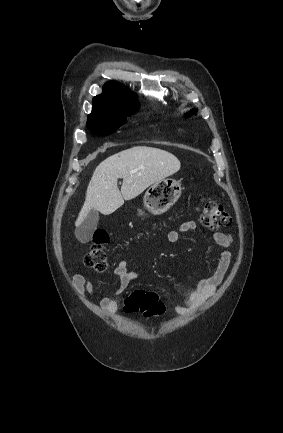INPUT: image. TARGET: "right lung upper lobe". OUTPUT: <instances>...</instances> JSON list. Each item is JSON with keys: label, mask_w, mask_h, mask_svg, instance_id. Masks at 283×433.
Listing matches in <instances>:
<instances>
[{"label": "right lung upper lobe", "mask_w": 283, "mask_h": 433, "mask_svg": "<svg viewBox=\"0 0 283 433\" xmlns=\"http://www.w3.org/2000/svg\"><path fill=\"white\" fill-rule=\"evenodd\" d=\"M135 109H139L136 95L120 83L108 82L103 87V93L93 98L91 114Z\"/></svg>", "instance_id": "right-lung-upper-lobe-1"}]
</instances>
